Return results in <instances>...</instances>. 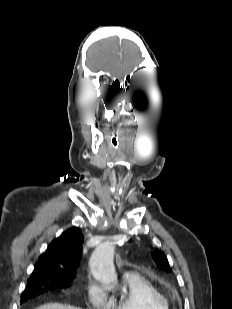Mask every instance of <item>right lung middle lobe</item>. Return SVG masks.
Masks as SVG:
<instances>
[{"label": "right lung middle lobe", "instance_id": "1", "mask_svg": "<svg viewBox=\"0 0 232 309\" xmlns=\"http://www.w3.org/2000/svg\"><path fill=\"white\" fill-rule=\"evenodd\" d=\"M71 280L63 277H54L39 274L30 277L21 296V304L56 287L67 286Z\"/></svg>", "mask_w": 232, "mask_h": 309}]
</instances>
